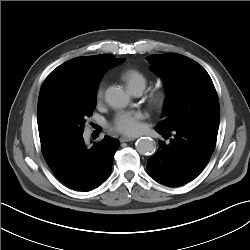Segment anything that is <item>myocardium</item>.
I'll use <instances>...</instances> for the list:
<instances>
[{
	"label": "myocardium",
	"mask_w": 250,
	"mask_h": 250,
	"mask_svg": "<svg viewBox=\"0 0 250 250\" xmlns=\"http://www.w3.org/2000/svg\"><path fill=\"white\" fill-rule=\"evenodd\" d=\"M167 100V92L164 89H156L151 92L149 101L155 108H162Z\"/></svg>",
	"instance_id": "1"
}]
</instances>
